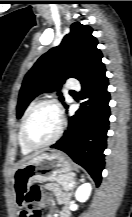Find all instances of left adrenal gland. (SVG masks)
I'll use <instances>...</instances> for the list:
<instances>
[{
	"label": "left adrenal gland",
	"instance_id": "a2214340",
	"mask_svg": "<svg viewBox=\"0 0 132 217\" xmlns=\"http://www.w3.org/2000/svg\"><path fill=\"white\" fill-rule=\"evenodd\" d=\"M80 181H84V175H81V180Z\"/></svg>",
	"mask_w": 132,
	"mask_h": 217
}]
</instances>
